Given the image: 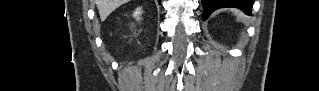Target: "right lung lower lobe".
I'll return each mask as SVG.
<instances>
[{"instance_id": "98d812e1", "label": "right lung lower lobe", "mask_w": 319, "mask_h": 91, "mask_svg": "<svg viewBox=\"0 0 319 91\" xmlns=\"http://www.w3.org/2000/svg\"><path fill=\"white\" fill-rule=\"evenodd\" d=\"M159 4L161 3V0H158Z\"/></svg>"}]
</instances>
